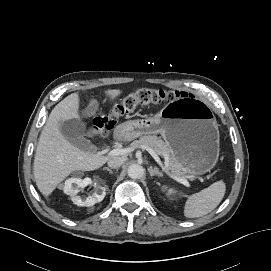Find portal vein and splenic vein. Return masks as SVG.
I'll return each instance as SVG.
<instances>
[{"instance_id":"1","label":"portal vein and splenic vein","mask_w":271,"mask_h":271,"mask_svg":"<svg viewBox=\"0 0 271 271\" xmlns=\"http://www.w3.org/2000/svg\"><path fill=\"white\" fill-rule=\"evenodd\" d=\"M143 149H146L151 156L155 159V161L162 167L163 171L165 173H167L171 178H173L174 180H176L177 182L182 183L183 185L190 187V183L188 182L187 179L182 178V177H177L174 175H171L168 170L166 169V167L162 164L160 158L157 156V154L153 151V149L148 148V147H144ZM131 151H133V148H116V149H112L108 152V155L110 156H119V155H126L128 153H130Z\"/></svg>"}]
</instances>
